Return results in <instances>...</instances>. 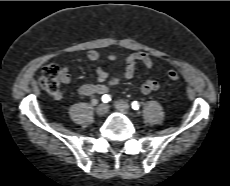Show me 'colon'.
Returning a JSON list of instances; mask_svg holds the SVG:
<instances>
[{"label": "colon", "mask_w": 230, "mask_h": 186, "mask_svg": "<svg viewBox=\"0 0 230 186\" xmlns=\"http://www.w3.org/2000/svg\"><path fill=\"white\" fill-rule=\"evenodd\" d=\"M167 77L170 80L176 81L180 78L176 70H168ZM39 83L43 90L50 94H56L60 87V71L54 64H46L40 73Z\"/></svg>", "instance_id": "obj_1"}]
</instances>
